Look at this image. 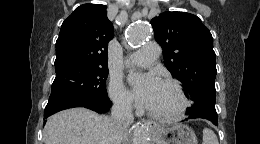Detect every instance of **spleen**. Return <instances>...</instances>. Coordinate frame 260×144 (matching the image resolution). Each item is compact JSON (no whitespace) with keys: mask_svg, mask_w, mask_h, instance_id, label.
Segmentation results:
<instances>
[{"mask_svg":"<svg viewBox=\"0 0 260 144\" xmlns=\"http://www.w3.org/2000/svg\"><path fill=\"white\" fill-rule=\"evenodd\" d=\"M203 144H218L216 134L209 128L203 129Z\"/></svg>","mask_w":260,"mask_h":144,"instance_id":"3e777b00","label":"spleen"}]
</instances>
